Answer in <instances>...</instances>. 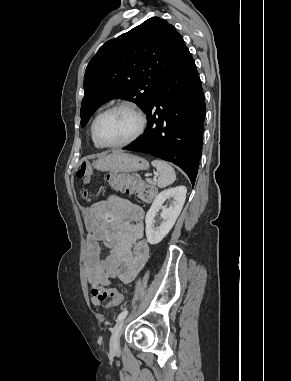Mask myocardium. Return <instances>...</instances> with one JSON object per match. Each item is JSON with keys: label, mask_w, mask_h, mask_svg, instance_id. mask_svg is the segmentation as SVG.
<instances>
[{"label": "myocardium", "mask_w": 291, "mask_h": 381, "mask_svg": "<svg viewBox=\"0 0 291 381\" xmlns=\"http://www.w3.org/2000/svg\"><path fill=\"white\" fill-rule=\"evenodd\" d=\"M121 108L129 109L136 114V116L138 117V121H139L138 127H137L135 133L131 137H129L128 139H126L122 142H119V143H107V142L103 141L98 134V123L108 113H110L114 110H117V109H121ZM146 123H147L146 116L140 107H138L136 104H134L132 102L123 101V102H119L117 104H114L111 107H108L107 109H105L104 111H102L100 114L97 115V117L94 119L93 124H92V133H93L95 140L102 147L118 148V147H123V146L129 145V144L133 143L134 141H136L143 134V132L146 128Z\"/></svg>", "instance_id": "myocardium-1"}]
</instances>
